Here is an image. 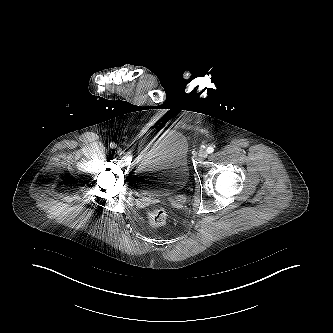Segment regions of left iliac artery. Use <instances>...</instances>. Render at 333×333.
<instances>
[{"mask_svg": "<svg viewBox=\"0 0 333 333\" xmlns=\"http://www.w3.org/2000/svg\"><path fill=\"white\" fill-rule=\"evenodd\" d=\"M207 152H208L209 154L212 153V152H214V147L209 146V147L207 148Z\"/></svg>", "mask_w": 333, "mask_h": 333, "instance_id": "obj_1", "label": "left iliac artery"}]
</instances>
